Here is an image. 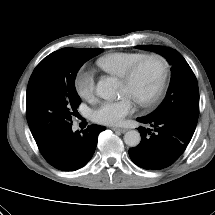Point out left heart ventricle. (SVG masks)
<instances>
[{
    "instance_id": "obj_1",
    "label": "left heart ventricle",
    "mask_w": 215,
    "mask_h": 215,
    "mask_svg": "<svg viewBox=\"0 0 215 215\" xmlns=\"http://www.w3.org/2000/svg\"><path fill=\"white\" fill-rule=\"evenodd\" d=\"M161 71L158 61H146L131 83H121V94L129 95L134 100L150 97L159 83Z\"/></svg>"
}]
</instances>
